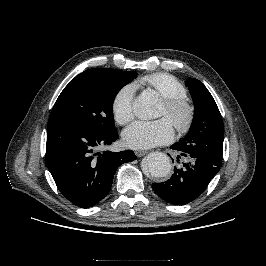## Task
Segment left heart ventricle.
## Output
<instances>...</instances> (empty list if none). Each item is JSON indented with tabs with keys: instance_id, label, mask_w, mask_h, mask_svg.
<instances>
[{
	"instance_id": "b2bd125f",
	"label": "left heart ventricle",
	"mask_w": 266,
	"mask_h": 266,
	"mask_svg": "<svg viewBox=\"0 0 266 266\" xmlns=\"http://www.w3.org/2000/svg\"><path fill=\"white\" fill-rule=\"evenodd\" d=\"M159 116L167 117V111H166V107L164 104L161 107Z\"/></svg>"
}]
</instances>
